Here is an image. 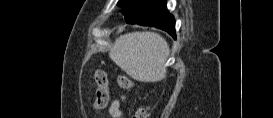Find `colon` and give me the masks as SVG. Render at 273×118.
<instances>
[{
  "label": "colon",
  "mask_w": 273,
  "mask_h": 118,
  "mask_svg": "<svg viewBox=\"0 0 273 118\" xmlns=\"http://www.w3.org/2000/svg\"><path fill=\"white\" fill-rule=\"evenodd\" d=\"M96 93L94 108L97 110L104 109L109 103V86L107 74L104 70L98 69L95 73ZM118 85L122 89H131L133 87V80L125 75H120L117 79ZM133 118H147V112L144 107H139Z\"/></svg>",
  "instance_id": "obj_1"
}]
</instances>
